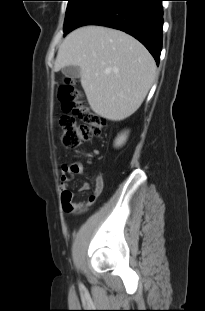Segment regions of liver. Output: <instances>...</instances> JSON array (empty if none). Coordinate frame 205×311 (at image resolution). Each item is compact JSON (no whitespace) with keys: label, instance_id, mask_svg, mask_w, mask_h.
I'll return each mask as SVG.
<instances>
[{"label":"liver","instance_id":"1","mask_svg":"<svg viewBox=\"0 0 205 311\" xmlns=\"http://www.w3.org/2000/svg\"><path fill=\"white\" fill-rule=\"evenodd\" d=\"M79 66L81 85L91 109L121 121L142 104L156 77L148 50L132 36L103 26L71 32L59 47L54 70Z\"/></svg>","mask_w":205,"mask_h":311}]
</instances>
